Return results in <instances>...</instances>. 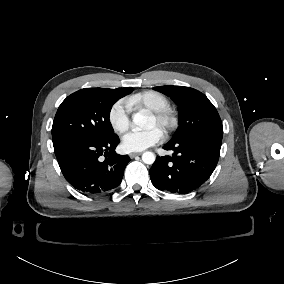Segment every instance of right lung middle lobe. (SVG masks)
I'll use <instances>...</instances> for the list:
<instances>
[{
    "label": "right lung middle lobe",
    "mask_w": 284,
    "mask_h": 284,
    "mask_svg": "<svg viewBox=\"0 0 284 284\" xmlns=\"http://www.w3.org/2000/svg\"><path fill=\"white\" fill-rule=\"evenodd\" d=\"M113 89L85 88L59 106L52 126L54 148L76 139H106L114 135L109 122L112 105L121 98Z\"/></svg>",
    "instance_id": "1"
}]
</instances>
